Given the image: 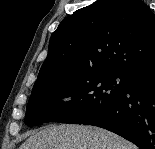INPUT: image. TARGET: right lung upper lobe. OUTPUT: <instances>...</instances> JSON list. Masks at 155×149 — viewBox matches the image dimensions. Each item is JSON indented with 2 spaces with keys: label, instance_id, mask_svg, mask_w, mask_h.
I'll return each mask as SVG.
<instances>
[{
  "label": "right lung upper lobe",
  "instance_id": "1",
  "mask_svg": "<svg viewBox=\"0 0 155 149\" xmlns=\"http://www.w3.org/2000/svg\"><path fill=\"white\" fill-rule=\"evenodd\" d=\"M153 69L155 15L148 6L142 0H97L54 31L36 82L68 72Z\"/></svg>",
  "mask_w": 155,
  "mask_h": 149
}]
</instances>
